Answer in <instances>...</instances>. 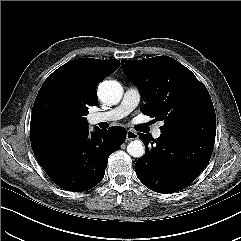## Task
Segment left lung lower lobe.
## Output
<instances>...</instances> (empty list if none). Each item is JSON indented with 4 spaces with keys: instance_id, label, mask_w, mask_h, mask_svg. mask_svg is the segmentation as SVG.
I'll use <instances>...</instances> for the list:
<instances>
[{
    "instance_id": "obj_1",
    "label": "left lung lower lobe",
    "mask_w": 241,
    "mask_h": 241,
    "mask_svg": "<svg viewBox=\"0 0 241 241\" xmlns=\"http://www.w3.org/2000/svg\"><path fill=\"white\" fill-rule=\"evenodd\" d=\"M146 152L135 164L138 179L158 193L180 191L201 173L210 160L214 141L162 131L158 139L140 134Z\"/></svg>"
}]
</instances>
